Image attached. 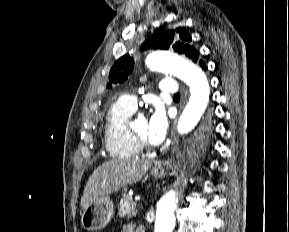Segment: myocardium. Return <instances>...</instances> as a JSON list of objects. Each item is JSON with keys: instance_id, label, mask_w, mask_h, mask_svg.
<instances>
[{"instance_id": "1", "label": "myocardium", "mask_w": 289, "mask_h": 232, "mask_svg": "<svg viewBox=\"0 0 289 232\" xmlns=\"http://www.w3.org/2000/svg\"><path fill=\"white\" fill-rule=\"evenodd\" d=\"M127 129H128L129 136L131 137V139L133 140V142L135 143V145L138 147L139 150L149 151L152 149V146L150 143L139 138L135 133L132 132L130 128H127Z\"/></svg>"}]
</instances>
